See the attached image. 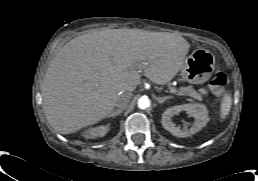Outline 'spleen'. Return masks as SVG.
<instances>
[{"mask_svg":"<svg viewBox=\"0 0 258 181\" xmlns=\"http://www.w3.org/2000/svg\"><path fill=\"white\" fill-rule=\"evenodd\" d=\"M232 97L230 93H225L220 103V119L224 120L230 112Z\"/></svg>","mask_w":258,"mask_h":181,"instance_id":"1","label":"spleen"}]
</instances>
